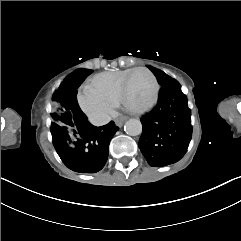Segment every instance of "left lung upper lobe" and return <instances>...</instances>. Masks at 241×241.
Here are the masks:
<instances>
[{
    "label": "left lung upper lobe",
    "mask_w": 241,
    "mask_h": 241,
    "mask_svg": "<svg viewBox=\"0 0 241 241\" xmlns=\"http://www.w3.org/2000/svg\"><path fill=\"white\" fill-rule=\"evenodd\" d=\"M148 68L154 73V75L157 77L158 83L161 86L167 85L171 82L176 81L175 79L171 78L167 74H165L163 71L153 68L151 66H148Z\"/></svg>",
    "instance_id": "left-lung-upper-lobe-1"
}]
</instances>
